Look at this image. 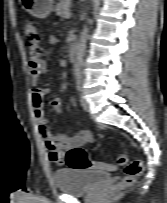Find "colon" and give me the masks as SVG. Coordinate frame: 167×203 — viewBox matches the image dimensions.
Here are the masks:
<instances>
[{
  "label": "colon",
  "mask_w": 167,
  "mask_h": 203,
  "mask_svg": "<svg viewBox=\"0 0 167 203\" xmlns=\"http://www.w3.org/2000/svg\"><path fill=\"white\" fill-rule=\"evenodd\" d=\"M23 30L25 45L29 49L30 63L37 65L41 61V57L44 52L42 47L39 45L41 40L39 29L35 22L29 20L24 23ZM65 161L71 169L75 170H99L105 167L104 163L90 160L86 151L80 146L73 147L68 150L65 156ZM119 163L125 165L124 176L117 184L108 188V192L110 194H114L132 186L135 178L143 171V161L141 159L127 162L124 156H120Z\"/></svg>",
  "instance_id": "obj_1"
}]
</instances>
